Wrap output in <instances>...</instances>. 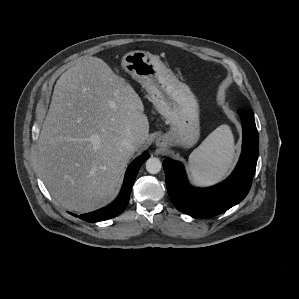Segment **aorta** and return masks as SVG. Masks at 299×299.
I'll return each instance as SVG.
<instances>
[{
    "instance_id": "aorta-1",
    "label": "aorta",
    "mask_w": 299,
    "mask_h": 299,
    "mask_svg": "<svg viewBox=\"0 0 299 299\" xmlns=\"http://www.w3.org/2000/svg\"><path fill=\"white\" fill-rule=\"evenodd\" d=\"M162 167L161 161L158 158L151 157L146 161V170L150 174H157Z\"/></svg>"
}]
</instances>
